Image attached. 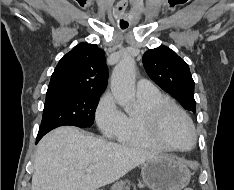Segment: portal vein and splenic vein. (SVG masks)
Here are the masks:
<instances>
[{
    "instance_id": "portal-vein-and-splenic-vein-1",
    "label": "portal vein and splenic vein",
    "mask_w": 234,
    "mask_h": 190,
    "mask_svg": "<svg viewBox=\"0 0 234 190\" xmlns=\"http://www.w3.org/2000/svg\"><path fill=\"white\" fill-rule=\"evenodd\" d=\"M94 169H95V166H94V165H91V166H89V167L86 169V172H87V173H91L92 171H94Z\"/></svg>"
}]
</instances>
